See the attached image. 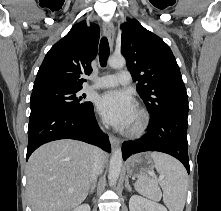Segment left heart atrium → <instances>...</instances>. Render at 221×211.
Instances as JSON below:
<instances>
[{"label": "left heart atrium", "instance_id": "1", "mask_svg": "<svg viewBox=\"0 0 221 211\" xmlns=\"http://www.w3.org/2000/svg\"><path fill=\"white\" fill-rule=\"evenodd\" d=\"M97 110L107 122L116 127L124 128L131 123L136 106L127 92L112 90L99 97Z\"/></svg>", "mask_w": 221, "mask_h": 211}]
</instances>
